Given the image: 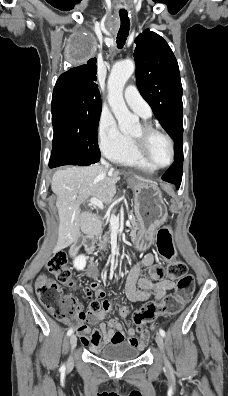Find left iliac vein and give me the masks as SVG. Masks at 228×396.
Instances as JSON below:
<instances>
[{"mask_svg": "<svg viewBox=\"0 0 228 396\" xmlns=\"http://www.w3.org/2000/svg\"><path fill=\"white\" fill-rule=\"evenodd\" d=\"M155 341H156V343H157V345H158V347H159V349H160V351H161V353L163 355L164 361L166 362L167 360H166V357L164 355V342H163V338H162L160 333L156 334Z\"/></svg>", "mask_w": 228, "mask_h": 396, "instance_id": "left-iliac-vein-1", "label": "left iliac vein"}]
</instances>
